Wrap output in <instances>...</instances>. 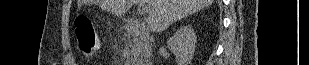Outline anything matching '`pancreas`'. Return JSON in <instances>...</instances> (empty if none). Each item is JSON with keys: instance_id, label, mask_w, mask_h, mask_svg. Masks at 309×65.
<instances>
[{"instance_id": "cf45deb5", "label": "pancreas", "mask_w": 309, "mask_h": 65, "mask_svg": "<svg viewBox=\"0 0 309 65\" xmlns=\"http://www.w3.org/2000/svg\"><path fill=\"white\" fill-rule=\"evenodd\" d=\"M139 48L137 47V45L134 44V49L132 50V55H137L139 53Z\"/></svg>"}]
</instances>
